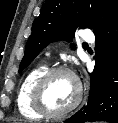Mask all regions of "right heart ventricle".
<instances>
[{"label":"right heart ventricle","instance_id":"obj_1","mask_svg":"<svg viewBox=\"0 0 118 123\" xmlns=\"http://www.w3.org/2000/svg\"><path fill=\"white\" fill-rule=\"evenodd\" d=\"M48 69L46 64H40L31 69L23 78L18 92L16 103L20 114L28 119H41L43 115L37 112L32 104L34 86L40 76Z\"/></svg>","mask_w":118,"mask_h":123}]
</instances>
